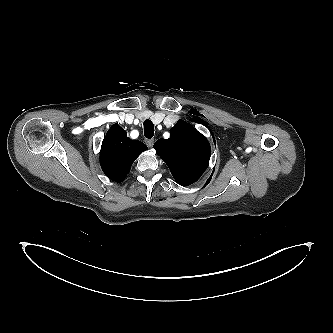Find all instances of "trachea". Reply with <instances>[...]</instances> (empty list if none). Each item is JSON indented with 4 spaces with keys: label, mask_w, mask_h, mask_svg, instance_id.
<instances>
[{
    "label": "trachea",
    "mask_w": 333,
    "mask_h": 333,
    "mask_svg": "<svg viewBox=\"0 0 333 333\" xmlns=\"http://www.w3.org/2000/svg\"><path fill=\"white\" fill-rule=\"evenodd\" d=\"M144 136L148 139L152 138L154 135V126L152 121L150 120H145L144 123Z\"/></svg>",
    "instance_id": "trachea-1"
}]
</instances>
